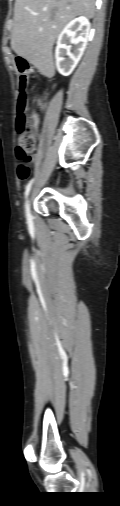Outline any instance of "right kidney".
Segmentation results:
<instances>
[{
	"mask_svg": "<svg viewBox=\"0 0 120 506\" xmlns=\"http://www.w3.org/2000/svg\"><path fill=\"white\" fill-rule=\"evenodd\" d=\"M90 31L89 20L81 16L70 21L59 34L55 58L56 68L61 75H70L77 66L89 40Z\"/></svg>",
	"mask_w": 120,
	"mask_h": 506,
	"instance_id": "obj_1",
	"label": "right kidney"
}]
</instances>
